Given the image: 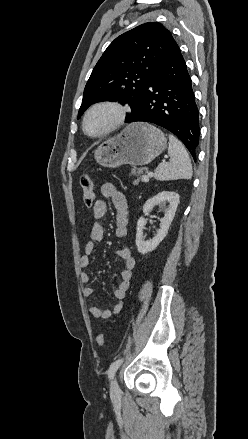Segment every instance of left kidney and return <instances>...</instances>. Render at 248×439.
I'll use <instances>...</instances> for the list:
<instances>
[{"mask_svg": "<svg viewBox=\"0 0 248 439\" xmlns=\"http://www.w3.org/2000/svg\"><path fill=\"white\" fill-rule=\"evenodd\" d=\"M166 202L169 203L168 208L165 210L164 217L160 219V228L152 239L144 240L143 230L146 224L145 218L141 217L137 222L136 246L138 252L143 255L156 249L160 242L166 237L179 204V195L176 192L162 191L148 199L143 206V212L148 214L157 204H164Z\"/></svg>", "mask_w": 248, "mask_h": 439, "instance_id": "left-kidney-1", "label": "left kidney"}]
</instances>
